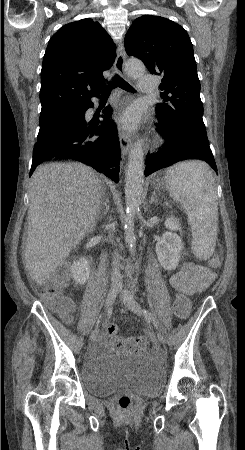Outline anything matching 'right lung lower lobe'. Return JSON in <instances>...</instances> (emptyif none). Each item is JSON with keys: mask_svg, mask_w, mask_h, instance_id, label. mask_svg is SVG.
<instances>
[{"mask_svg": "<svg viewBox=\"0 0 245 450\" xmlns=\"http://www.w3.org/2000/svg\"><path fill=\"white\" fill-rule=\"evenodd\" d=\"M92 106L90 100L63 116L48 136L37 141L30 176L41 162L59 158L82 161L118 182L121 152L116 127L108 122L110 107L103 110V122L86 121L85 112Z\"/></svg>", "mask_w": 245, "mask_h": 450, "instance_id": "obj_1", "label": "right lung lower lobe"}]
</instances>
